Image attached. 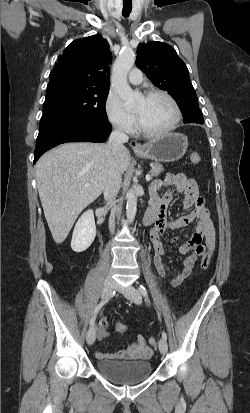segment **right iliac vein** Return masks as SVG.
<instances>
[{
  "label": "right iliac vein",
  "mask_w": 250,
  "mask_h": 413,
  "mask_svg": "<svg viewBox=\"0 0 250 413\" xmlns=\"http://www.w3.org/2000/svg\"><path fill=\"white\" fill-rule=\"evenodd\" d=\"M114 286H115L114 281L110 277L106 278L104 285H103V289H102L103 300L107 299L111 295L112 290L114 289ZM95 339H96V329L93 326L88 330L87 335H86V340L89 345H92L95 342Z\"/></svg>",
  "instance_id": "right-iliac-vein-1"
}]
</instances>
